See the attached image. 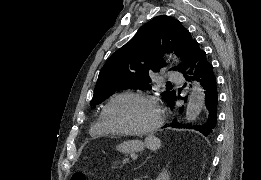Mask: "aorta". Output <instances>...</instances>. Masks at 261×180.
<instances>
[{
	"instance_id": "1",
	"label": "aorta",
	"mask_w": 261,
	"mask_h": 180,
	"mask_svg": "<svg viewBox=\"0 0 261 180\" xmlns=\"http://www.w3.org/2000/svg\"><path fill=\"white\" fill-rule=\"evenodd\" d=\"M171 57V56H170ZM174 61L179 62L177 57H172ZM204 90L201 87L199 82H194L192 91L188 98V103L186 107V116L185 119L188 122L195 121L200 115L205 102Z\"/></svg>"
}]
</instances>
